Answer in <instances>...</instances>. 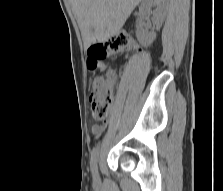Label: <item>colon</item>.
I'll list each match as a JSON object with an SVG mask.
<instances>
[{
    "mask_svg": "<svg viewBox=\"0 0 223 191\" xmlns=\"http://www.w3.org/2000/svg\"><path fill=\"white\" fill-rule=\"evenodd\" d=\"M129 37L125 34L114 36L105 43H96L89 47L87 54V66L90 69H101V75H95L90 80V97L93 117L97 120H104L112 108L111 84L114 72L100 60L111 53L122 51L128 48Z\"/></svg>",
    "mask_w": 223,
    "mask_h": 191,
    "instance_id": "colon-1",
    "label": "colon"
}]
</instances>
